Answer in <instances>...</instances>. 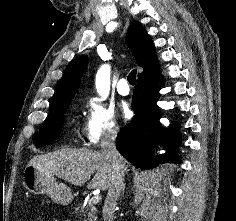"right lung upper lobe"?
I'll return each instance as SVG.
<instances>
[{
  "mask_svg": "<svg viewBox=\"0 0 236 221\" xmlns=\"http://www.w3.org/2000/svg\"><path fill=\"white\" fill-rule=\"evenodd\" d=\"M126 40L137 64L143 68V72L138 75L139 77L151 73L158 67L152 39L139 22L133 21L130 24ZM88 61V57L83 55L69 63L63 77L56 86L55 93L51 99L50 110L71 101L75 96Z\"/></svg>",
  "mask_w": 236,
  "mask_h": 221,
  "instance_id": "1",
  "label": "right lung upper lobe"
}]
</instances>
